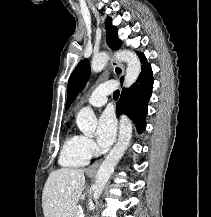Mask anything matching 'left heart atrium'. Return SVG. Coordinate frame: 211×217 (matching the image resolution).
Returning <instances> with one entry per match:
<instances>
[{
  "mask_svg": "<svg viewBox=\"0 0 211 217\" xmlns=\"http://www.w3.org/2000/svg\"><path fill=\"white\" fill-rule=\"evenodd\" d=\"M116 136V121L114 115L107 111L101 115L97 128V141L101 147H109Z\"/></svg>",
  "mask_w": 211,
  "mask_h": 217,
  "instance_id": "39dd6f15",
  "label": "left heart atrium"
}]
</instances>
